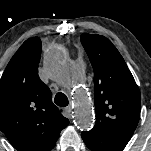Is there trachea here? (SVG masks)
I'll list each match as a JSON object with an SVG mask.
<instances>
[{
  "instance_id": "3493384b",
  "label": "trachea",
  "mask_w": 151,
  "mask_h": 151,
  "mask_svg": "<svg viewBox=\"0 0 151 151\" xmlns=\"http://www.w3.org/2000/svg\"><path fill=\"white\" fill-rule=\"evenodd\" d=\"M54 102L60 107H66L69 104L67 96L62 92L56 94Z\"/></svg>"
}]
</instances>
